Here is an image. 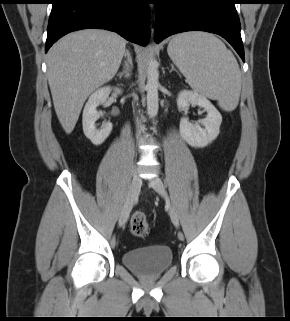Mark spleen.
Returning a JSON list of instances; mask_svg holds the SVG:
<instances>
[{
    "label": "spleen",
    "instance_id": "spleen-1",
    "mask_svg": "<svg viewBox=\"0 0 290 321\" xmlns=\"http://www.w3.org/2000/svg\"><path fill=\"white\" fill-rule=\"evenodd\" d=\"M167 52L195 92L217 100L225 111L237 107L241 73L220 39L205 32L182 33L170 41Z\"/></svg>",
    "mask_w": 290,
    "mask_h": 321
}]
</instances>
